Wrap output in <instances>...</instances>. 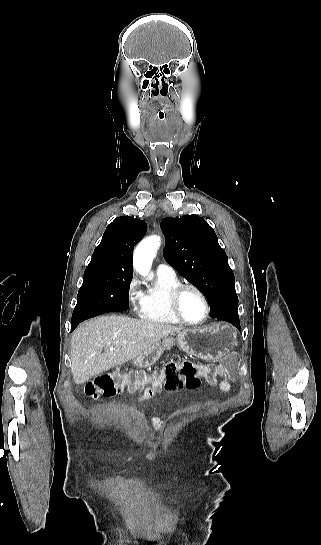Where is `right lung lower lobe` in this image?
I'll return each instance as SVG.
<instances>
[{"instance_id": "obj_1", "label": "right lung lower lobe", "mask_w": 321, "mask_h": 545, "mask_svg": "<svg viewBox=\"0 0 321 545\" xmlns=\"http://www.w3.org/2000/svg\"><path fill=\"white\" fill-rule=\"evenodd\" d=\"M129 308V295L126 297H121L118 300L114 301L110 308L108 309L109 312H119V311H125ZM88 319V317H82L80 319L72 320V326L71 330H74L79 323L82 321Z\"/></svg>"}]
</instances>
